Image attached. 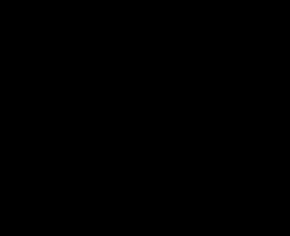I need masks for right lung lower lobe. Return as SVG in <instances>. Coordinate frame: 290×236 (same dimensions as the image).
Masks as SVG:
<instances>
[{
  "mask_svg": "<svg viewBox=\"0 0 290 236\" xmlns=\"http://www.w3.org/2000/svg\"><path fill=\"white\" fill-rule=\"evenodd\" d=\"M48 120L58 158L69 177L101 196L125 186L149 139L146 125L128 107L53 106Z\"/></svg>",
  "mask_w": 290,
  "mask_h": 236,
  "instance_id": "98d812e1",
  "label": "right lung lower lobe"
}]
</instances>
